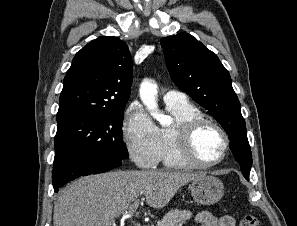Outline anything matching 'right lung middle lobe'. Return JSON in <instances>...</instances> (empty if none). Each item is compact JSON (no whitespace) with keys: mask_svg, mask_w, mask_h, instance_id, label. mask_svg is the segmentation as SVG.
<instances>
[{"mask_svg":"<svg viewBox=\"0 0 297 226\" xmlns=\"http://www.w3.org/2000/svg\"><path fill=\"white\" fill-rule=\"evenodd\" d=\"M57 122L55 157L78 152H99L120 159L129 157L122 139L123 111L76 114Z\"/></svg>","mask_w":297,"mask_h":226,"instance_id":"1","label":"right lung middle lobe"}]
</instances>
